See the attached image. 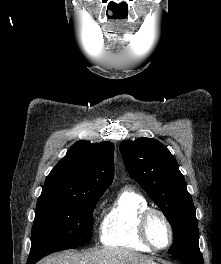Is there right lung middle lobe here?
Instances as JSON below:
<instances>
[{
  "label": "right lung middle lobe",
  "instance_id": "dd1d6c3e",
  "mask_svg": "<svg viewBox=\"0 0 221 264\" xmlns=\"http://www.w3.org/2000/svg\"><path fill=\"white\" fill-rule=\"evenodd\" d=\"M100 194L78 197L40 196L32 228L29 258L77 248L92 239L93 210Z\"/></svg>",
  "mask_w": 221,
  "mask_h": 264
}]
</instances>
